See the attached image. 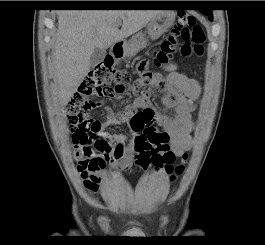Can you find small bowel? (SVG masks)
I'll list each match as a JSON object with an SVG mask.
<instances>
[{
  "label": "small bowel",
  "mask_w": 265,
  "mask_h": 245,
  "mask_svg": "<svg viewBox=\"0 0 265 245\" xmlns=\"http://www.w3.org/2000/svg\"><path fill=\"white\" fill-rule=\"evenodd\" d=\"M155 85L162 96L164 108L171 110V113L159 112L148 99L140 96L134 100L132 106L117 113L107 109V120L101 124L99 134L123 144L126 140L123 134H108L106 129L127 122L136 111H145L168 131L170 149L175 156H182L194 144L192 112L200 95V84L196 79L179 72L174 63H170L165 67L164 74L156 77ZM132 149L133 143L127 142L122 153L117 154L96 147H85L79 141H75L74 156L85 189L90 193H96L101 183L109 176L108 168L115 172L128 170L132 162Z\"/></svg>",
  "instance_id": "1"
}]
</instances>
